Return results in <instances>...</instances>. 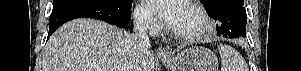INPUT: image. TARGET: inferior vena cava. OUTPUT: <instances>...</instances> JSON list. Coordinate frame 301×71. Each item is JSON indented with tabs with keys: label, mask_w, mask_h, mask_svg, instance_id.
<instances>
[{
	"label": "inferior vena cava",
	"mask_w": 301,
	"mask_h": 71,
	"mask_svg": "<svg viewBox=\"0 0 301 71\" xmlns=\"http://www.w3.org/2000/svg\"><path fill=\"white\" fill-rule=\"evenodd\" d=\"M150 19L151 16L147 13H139L134 17V34L141 41L143 46L147 48L151 46L150 39L147 33Z\"/></svg>",
	"instance_id": "602c4592"
}]
</instances>
